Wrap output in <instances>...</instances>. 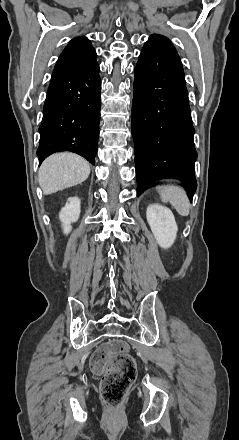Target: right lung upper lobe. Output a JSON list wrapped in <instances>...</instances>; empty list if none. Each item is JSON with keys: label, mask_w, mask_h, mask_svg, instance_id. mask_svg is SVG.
<instances>
[{"label": "right lung upper lobe", "mask_w": 239, "mask_h": 440, "mask_svg": "<svg viewBox=\"0 0 239 440\" xmlns=\"http://www.w3.org/2000/svg\"><path fill=\"white\" fill-rule=\"evenodd\" d=\"M96 52L86 37L72 39L59 56L55 68L87 69L97 65Z\"/></svg>", "instance_id": "obj_1"}]
</instances>
